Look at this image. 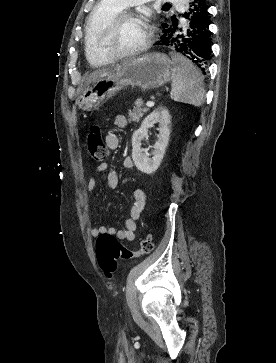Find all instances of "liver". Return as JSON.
I'll return each instance as SVG.
<instances>
[{
  "mask_svg": "<svg viewBox=\"0 0 276 363\" xmlns=\"http://www.w3.org/2000/svg\"><path fill=\"white\" fill-rule=\"evenodd\" d=\"M113 68H103V69H98L96 71H94L93 73H91L87 78L85 83L89 84L91 82H93L94 80H96L98 77H100L101 75L111 71Z\"/></svg>",
  "mask_w": 276,
  "mask_h": 363,
  "instance_id": "obj_1",
  "label": "liver"
}]
</instances>
